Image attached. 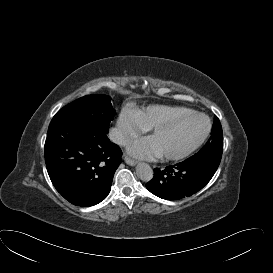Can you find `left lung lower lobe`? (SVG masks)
Masks as SVG:
<instances>
[{"mask_svg": "<svg viewBox=\"0 0 273 273\" xmlns=\"http://www.w3.org/2000/svg\"><path fill=\"white\" fill-rule=\"evenodd\" d=\"M217 169L211 165L185 160L165 169H154V177L146 184L154 195L167 200H178L201 190Z\"/></svg>", "mask_w": 273, "mask_h": 273, "instance_id": "obj_1", "label": "left lung lower lobe"}]
</instances>
